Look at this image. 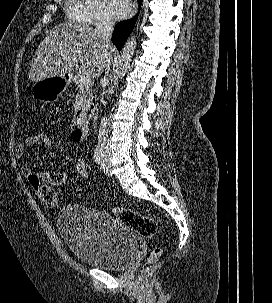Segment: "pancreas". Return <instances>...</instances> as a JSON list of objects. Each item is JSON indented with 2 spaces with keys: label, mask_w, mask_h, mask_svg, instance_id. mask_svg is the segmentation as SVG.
<instances>
[{
  "label": "pancreas",
  "mask_w": 272,
  "mask_h": 303,
  "mask_svg": "<svg viewBox=\"0 0 272 303\" xmlns=\"http://www.w3.org/2000/svg\"><path fill=\"white\" fill-rule=\"evenodd\" d=\"M78 88H79V92L77 94L78 99H80L84 103H89V101L93 97L91 84L86 86V85H83V84L80 83L78 85Z\"/></svg>",
  "instance_id": "1"
}]
</instances>
